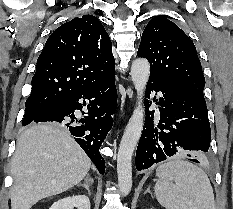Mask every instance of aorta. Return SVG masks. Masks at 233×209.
<instances>
[{
  "label": "aorta",
  "instance_id": "aorta-1",
  "mask_svg": "<svg viewBox=\"0 0 233 209\" xmlns=\"http://www.w3.org/2000/svg\"><path fill=\"white\" fill-rule=\"evenodd\" d=\"M149 75L150 65L146 59L138 58L133 61L131 66V78L137 91L138 102L125 128L117 157L118 185L123 195H128L132 188V155L143 129V97Z\"/></svg>",
  "mask_w": 233,
  "mask_h": 209
}]
</instances>
